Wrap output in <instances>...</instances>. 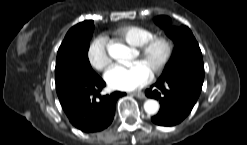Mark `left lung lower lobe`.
I'll list each match as a JSON object with an SVG mask.
<instances>
[{
	"mask_svg": "<svg viewBox=\"0 0 247 145\" xmlns=\"http://www.w3.org/2000/svg\"><path fill=\"white\" fill-rule=\"evenodd\" d=\"M204 80V69L180 68L162 75L145 91L149 98L160 100L161 109L152 121L161 126L180 123L194 107Z\"/></svg>",
	"mask_w": 247,
	"mask_h": 145,
	"instance_id": "obj_1",
	"label": "left lung lower lobe"
}]
</instances>
